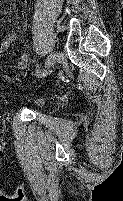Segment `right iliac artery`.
<instances>
[{"mask_svg":"<svg viewBox=\"0 0 123 201\" xmlns=\"http://www.w3.org/2000/svg\"><path fill=\"white\" fill-rule=\"evenodd\" d=\"M47 71L45 69L37 70L36 76L38 77H44L46 75Z\"/></svg>","mask_w":123,"mask_h":201,"instance_id":"obj_1","label":"right iliac artery"}]
</instances>
